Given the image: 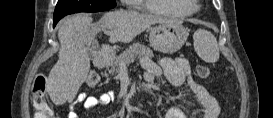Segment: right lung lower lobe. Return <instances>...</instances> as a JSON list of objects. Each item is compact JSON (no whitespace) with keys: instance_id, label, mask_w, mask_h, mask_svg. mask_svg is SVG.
Listing matches in <instances>:
<instances>
[{"instance_id":"right-lung-lower-lobe-1","label":"right lung lower lobe","mask_w":273,"mask_h":118,"mask_svg":"<svg viewBox=\"0 0 273 118\" xmlns=\"http://www.w3.org/2000/svg\"><path fill=\"white\" fill-rule=\"evenodd\" d=\"M73 13H77V12H73ZM73 13L64 12V11H62L61 13L54 12L53 27H55V25L58 23V21H59L62 17H64L65 15L73 14Z\"/></svg>"}]
</instances>
